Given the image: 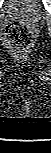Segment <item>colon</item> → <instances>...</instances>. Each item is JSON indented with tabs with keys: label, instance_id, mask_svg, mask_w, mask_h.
Wrapping results in <instances>:
<instances>
[{
	"label": "colon",
	"instance_id": "obj_1",
	"mask_svg": "<svg viewBox=\"0 0 51 153\" xmlns=\"http://www.w3.org/2000/svg\"><path fill=\"white\" fill-rule=\"evenodd\" d=\"M4 38L9 48L15 53L25 52L33 43L31 29L19 21H12L5 26Z\"/></svg>",
	"mask_w": 51,
	"mask_h": 153
}]
</instances>
